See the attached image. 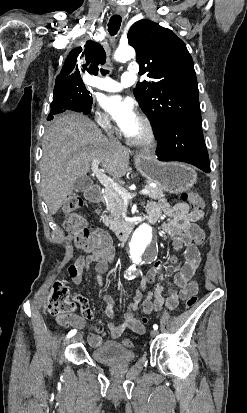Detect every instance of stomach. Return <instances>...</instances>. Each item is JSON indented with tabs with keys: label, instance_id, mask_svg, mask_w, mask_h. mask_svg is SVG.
Segmentation results:
<instances>
[{
	"label": "stomach",
	"instance_id": "0dacf381",
	"mask_svg": "<svg viewBox=\"0 0 247 413\" xmlns=\"http://www.w3.org/2000/svg\"><path fill=\"white\" fill-rule=\"evenodd\" d=\"M137 170L149 182H155L166 192H184L194 186L197 180V172L192 166L183 162H160L149 154H137L134 158Z\"/></svg>",
	"mask_w": 247,
	"mask_h": 413
}]
</instances>
